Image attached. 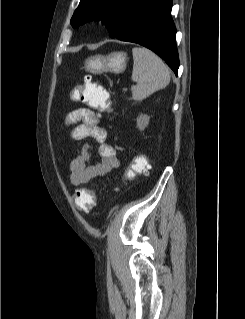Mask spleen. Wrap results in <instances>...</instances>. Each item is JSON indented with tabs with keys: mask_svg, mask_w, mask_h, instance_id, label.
Returning a JSON list of instances; mask_svg holds the SVG:
<instances>
[{
	"mask_svg": "<svg viewBox=\"0 0 245 319\" xmlns=\"http://www.w3.org/2000/svg\"><path fill=\"white\" fill-rule=\"evenodd\" d=\"M132 98L136 101L146 99L154 92L165 88L170 82V70L163 60L145 47H134Z\"/></svg>",
	"mask_w": 245,
	"mask_h": 319,
	"instance_id": "spleen-1",
	"label": "spleen"
}]
</instances>
